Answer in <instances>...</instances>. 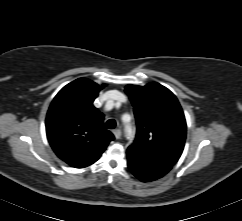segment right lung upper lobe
Instances as JSON below:
<instances>
[{
  "instance_id": "1",
  "label": "right lung upper lobe",
  "mask_w": 242,
  "mask_h": 221,
  "mask_svg": "<svg viewBox=\"0 0 242 221\" xmlns=\"http://www.w3.org/2000/svg\"><path fill=\"white\" fill-rule=\"evenodd\" d=\"M101 87L79 78L53 99L46 117V132L56 155L75 168L96 162L113 134L103 125L104 115L93 106Z\"/></svg>"
}]
</instances>
